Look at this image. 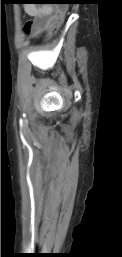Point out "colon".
Wrapping results in <instances>:
<instances>
[{
  "mask_svg": "<svg viewBox=\"0 0 122 257\" xmlns=\"http://www.w3.org/2000/svg\"><path fill=\"white\" fill-rule=\"evenodd\" d=\"M72 5V2H57V10H59L55 17L57 21H52V26H49L48 34L46 36L47 39L54 38V35H57L59 33L58 31H61L63 28L62 24H65L66 14L70 13V8L68 7H72Z\"/></svg>",
  "mask_w": 122,
  "mask_h": 257,
  "instance_id": "obj_1",
  "label": "colon"
}]
</instances>
